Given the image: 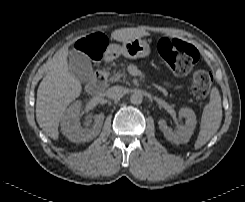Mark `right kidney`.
Wrapping results in <instances>:
<instances>
[{
    "label": "right kidney",
    "mask_w": 245,
    "mask_h": 202,
    "mask_svg": "<svg viewBox=\"0 0 245 202\" xmlns=\"http://www.w3.org/2000/svg\"><path fill=\"white\" fill-rule=\"evenodd\" d=\"M80 109L81 102H74L65 111L61 118V130L63 134L71 141L76 143L88 142L97 137L101 131L104 121V115L98 114L94 116V124L91 127V120L84 123V127L80 125Z\"/></svg>",
    "instance_id": "right-kidney-1"
}]
</instances>
